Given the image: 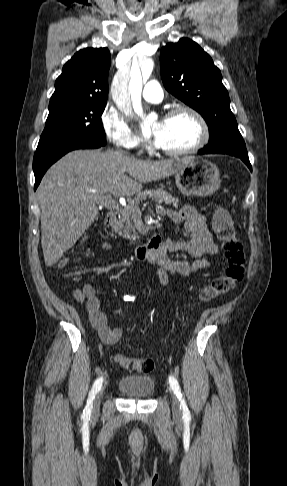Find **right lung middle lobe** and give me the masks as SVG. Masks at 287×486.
<instances>
[{"label": "right lung middle lobe", "mask_w": 287, "mask_h": 486, "mask_svg": "<svg viewBox=\"0 0 287 486\" xmlns=\"http://www.w3.org/2000/svg\"><path fill=\"white\" fill-rule=\"evenodd\" d=\"M107 100H84L49 107L37 150L74 143L106 144L101 116Z\"/></svg>", "instance_id": "1"}]
</instances>
